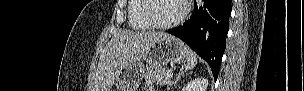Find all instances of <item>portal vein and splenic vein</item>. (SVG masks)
Segmentation results:
<instances>
[{
	"label": "portal vein and splenic vein",
	"instance_id": "obj_1",
	"mask_svg": "<svg viewBox=\"0 0 304 91\" xmlns=\"http://www.w3.org/2000/svg\"><path fill=\"white\" fill-rule=\"evenodd\" d=\"M172 76H173V72L171 70L168 71L166 74L167 80H169Z\"/></svg>",
	"mask_w": 304,
	"mask_h": 91
}]
</instances>
